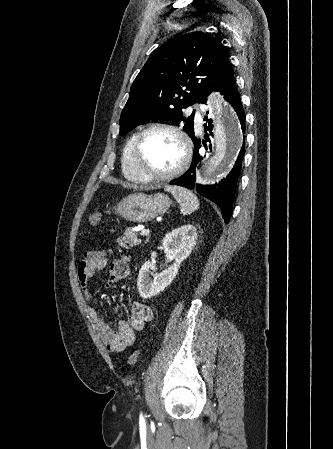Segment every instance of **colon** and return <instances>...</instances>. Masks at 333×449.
<instances>
[{
    "label": "colon",
    "instance_id": "colon-1",
    "mask_svg": "<svg viewBox=\"0 0 333 449\" xmlns=\"http://www.w3.org/2000/svg\"><path fill=\"white\" fill-rule=\"evenodd\" d=\"M100 219H101L100 213L94 212L89 216L88 221L91 226H96L99 223ZM139 357H140L139 350L132 351L128 356V364L135 365L138 362Z\"/></svg>",
    "mask_w": 333,
    "mask_h": 449
}]
</instances>
